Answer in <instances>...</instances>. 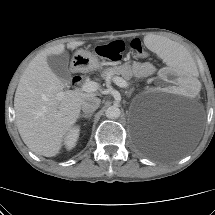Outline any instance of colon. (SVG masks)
I'll return each instance as SVG.
<instances>
[{
	"label": "colon",
	"mask_w": 215,
	"mask_h": 215,
	"mask_svg": "<svg viewBox=\"0 0 215 215\" xmlns=\"http://www.w3.org/2000/svg\"><path fill=\"white\" fill-rule=\"evenodd\" d=\"M131 49L137 56H144L145 50L140 39H133L130 43ZM125 49L123 41H113L108 44L96 47V54L100 57L109 59L111 61H118Z\"/></svg>",
	"instance_id": "1"
}]
</instances>
